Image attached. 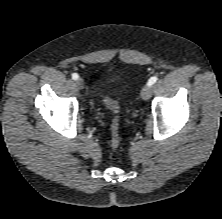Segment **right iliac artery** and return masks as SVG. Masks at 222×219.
Here are the masks:
<instances>
[{"mask_svg": "<svg viewBox=\"0 0 222 219\" xmlns=\"http://www.w3.org/2000/svg\"><path fill=\"white\" fill-rule=\"evenodd\" d=\"M79 78L78 74L77 73H73L72 74V79L73 80H77Z\"/></svg>", "mask_w": 222, "mask_h": 219, "instance_id": "1", "label": "right iliac artery"}]
</instances>
